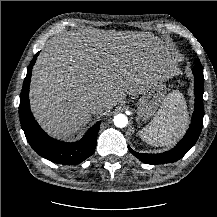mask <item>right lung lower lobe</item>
Wrapping results in <instances>:
<instances>
[{
    "instance_id": "obj_1",
    "label": "right lung lower lobe",
    "mask_w": 217,
    "mask_h": 217,
    "mask_svg": "<svg viewBox=\"0 0 217 217\" xmlns=\"http://www.w3.org/2000/svg\"><path fill=\"white\" fill-rule=\"evenodd\" d=\"M37 55L38 53L34 56L27 69V75L20 94L19 115L22 129L30 146L43 158L58 164H79L93 154L100 122L90 128L85 136L75 143H66L53 139L39 127L30 111L28 98L32 66Z\"/></svg>"
}]
</instances>
